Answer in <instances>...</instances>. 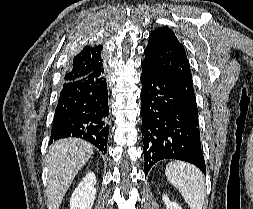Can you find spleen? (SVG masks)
Masks as SVG:
<instances>
[{
  "mask_svg": "<svg viewBox=\"0 0 253 209\" xmlns=\"http://www.w3.org/2000/svg\"><path fill=\"white\" fill-rule=\"evenodd\" d=\"M168 181L182 194L190 209H202L205 183L202 172L185 162H171L166 166Z\"/></svg>",
  "mask_w": 253,
  "mask_h": 209,
  "instance_id": "1",
  "label": "spleen"
}]
</instances>
